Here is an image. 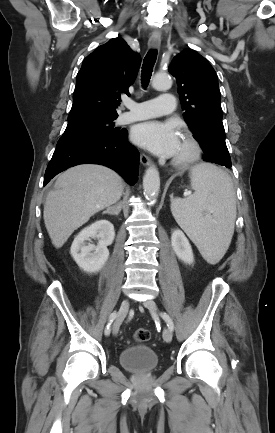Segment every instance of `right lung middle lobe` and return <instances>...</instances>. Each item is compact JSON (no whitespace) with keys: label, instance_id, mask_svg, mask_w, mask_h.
I'll return each mask as SVG.
<instances>
[{"label":"right lung middle lobe","instance_id":"obj_1","mask_svg":"<svg viewBox=\"0 0 275 433\" xmlns=\"http://www.w3.org/2000/svg\"><path fill=\"white\" fill-rule=\"evenodd\" d=\"M117 116L85 115L68 118V125L60 139L72 137H87L105 139L123 133V130L113 127Z\"/></svg>","mask_w":275,"mask_h":433}]
</instances>
